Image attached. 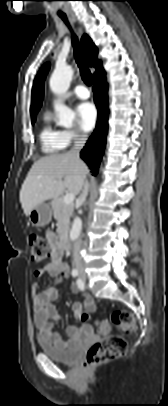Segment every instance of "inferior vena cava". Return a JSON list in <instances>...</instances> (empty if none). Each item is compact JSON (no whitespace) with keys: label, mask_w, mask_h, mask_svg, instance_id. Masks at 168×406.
I'll return each instance as SVG.
<instances>
[{"label":"inferior vena cava","mask_w":168,"mask_h":406,"mask_svg":"<svg viewBox=\"0 0 168 406\" xmlns=\"http://www.w3.org/2000/svg\"><path fill=\"white\" fill-rule=\"evenodd\" d=\"M87 140V136L86 135H78L77 138L75 139L74 142V146L72 147V149L68 152L70 155H72L78 162H81V159L79 157V153L81 151V149L83 148V146L85 145ZM88 191H89V182L87 180L84 181L83 184V189L82 192L79 196L78 202L79 204L84 203V201L86 200V197L88 195ZM80 249H81V240L78 239L74 242L73 245V258H74V264L77 268H81L82 267V260H81V256H80Z\"/></svg>","instance_id":"1"}]
</instances>
